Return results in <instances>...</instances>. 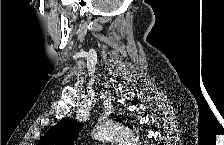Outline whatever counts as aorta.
Wrapping results in <instances>:
<instances>
[{"mask_svg":"<svg viewBox=\"0 0 224 145\" xmlns=\"http://www.w3.org/2000/svg\"><path fill=\"white\" fill-rule=\"evenodd\" d=\"M91 135L100 141L115 142L118 145H138V138L127 126L118 122H104L96 125Z\"/></svg>","mask_w":224,"mask_h":145,"instance_id":"obj_1","label":"aorta"}]
</instances>
